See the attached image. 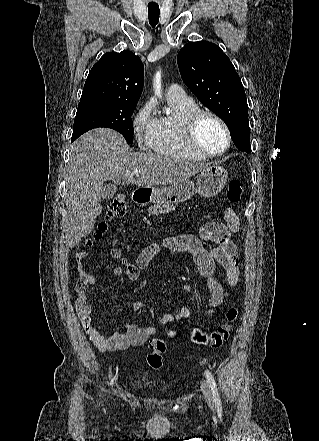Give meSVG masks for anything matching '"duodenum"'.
Masks as SVG:
<instances>
[{
  "label": "duodenum",
  "mask_w": 319,
  "mask_h": 441,
  "mask_svg": "<svg viewBox=\"0 0 319 441\" xmlns=\"http://www.w3.org/2000/svg\"><path fill=\"white\" fill-rule=\"evenodd\" d=\"M151 193L147 190H137L133 193L132 200L136 204H143L149 201Z\"/></svg>",
  "instance_id": "1"
}]
</instances>
